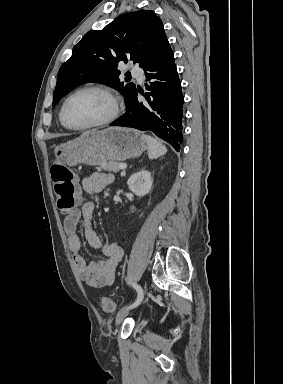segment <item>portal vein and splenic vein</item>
<instances>
[{"instance_id":"18ae733b","label":"portal vein and splenic vein","mask_w":283,"mask_h":384,"mask_svg":"<svg viewBox=\"0 0 283 384\" xmlns=\"http://www.w3.org/2000/svg\"><path fill=\"white\" fill-rule=\"evenodd\" d=\"M119 168H120V170H125L126 164H120ZM122 174H123V172H122Z\"/></svg>"}]
</instances>
